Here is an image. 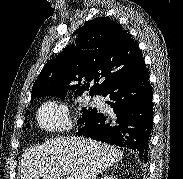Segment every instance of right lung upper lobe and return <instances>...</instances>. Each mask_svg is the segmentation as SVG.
Returning <instances> with one entry per match:
<instances>
[{"instance_id":"1","label":"right lung upper lobe","mask_w":183,"mask_h":179,"mask_svg":"<svg viewBox=\"0 0 183 179\" xmlns=\"http://www.w3.org/2000/svg\"><path fill=\"white\" fill-rule=\"evenodd\" d=\"M143 64L139 45L130 33L117 21L98 17L80 28L75 44L45 64L33 85L31 99L65 96L70 90L81 95L90 83L93 86L89 94H100Z\"/></svg>"}]
</instances>
